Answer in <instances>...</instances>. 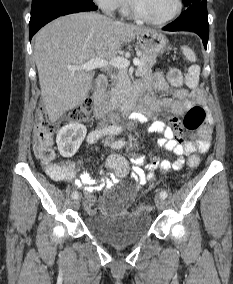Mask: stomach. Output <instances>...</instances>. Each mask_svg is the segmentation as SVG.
Returning a JSON list of instances; mask_svg holds the SVG:
<instances>
[{
    "instance_id": "0dacf381",
    "label": "stomach",
    "mask_w": 233,
    "mask_h": 284,
    "mask_svg": "<svg viewBox=\"0 0 233 284\" xmlns=\"http://www.w3.org/2000/svg\"><path fill=\"white\" fill-rule=\"evenodd\" d=\"M137 40L143 53L155 58L165 51L168 43L166 37L155 30L140 33L137 36Z\"/></svg>"
}]
</instances>
